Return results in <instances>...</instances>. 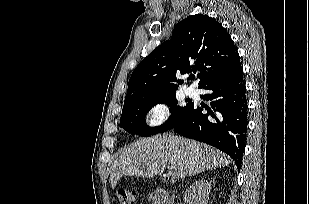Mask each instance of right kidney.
<instances>
[{
	"instance_id": "ca27d5eb",
	"label": "right kidney",
	"mask_w": 309,
	"mask_h": 204,
	"mask_svg": "<svg viewBox=\"0 0 309 204\" xmlns=\"http://www.w3.org/2000/svg\"><path fill=\"white\" fill-rule=\"evenodd\" d=\"M211 191V182L201 180L193 183L184 193L186 204H207Z\"/></svg>"
}]
</instances>
